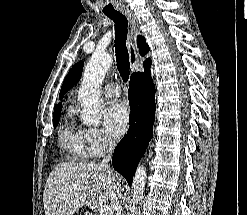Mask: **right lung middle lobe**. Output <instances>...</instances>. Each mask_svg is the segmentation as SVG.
Returning a JSON list of instances; mask_svg holds the SVG:
<instances>
[{"label": "right lung middle lobe", "instance_id": "obj_1", "mask_svg": "<svg viewBox=\"0 0 247 215\" xmlns=\"http://www.w3.org/2000/svg\"><path fill=\"white\" fill-rule=\"evenodd\" d=\"M58 123H59V113L53 114V124H54V127H56V125H58Z\"/></svg>", "mask_w": 247, "mask_h": 215}]
</instances>
